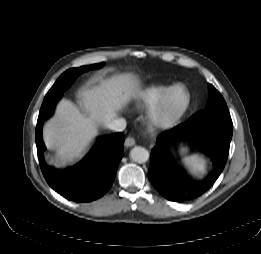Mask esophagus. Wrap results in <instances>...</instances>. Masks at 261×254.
Here are the masks:
<instances>
[{"mask_svg":"<svg viewBox=\"0 0 261 254\" xmlns=\"http://www.w3.org/2000/svg\"><path fill=\"white\" fill-rule=\"evenodd\" d=\"M135 139L134 138H132V137H127L126 139H125V143H124V145H125V147H132V146H134L135 145Z\"/></svg>","mask_w":261,"mask_h":254,"instance_id":"1","label":"esophagus"}]
</instances>
